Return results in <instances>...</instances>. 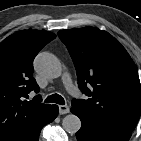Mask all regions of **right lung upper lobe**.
Segmentation results:
<instances>
[{"label":"right lung upper lobe","mask_w":141,"mask_h":141,"mask_svg":"<svg viewBox=\"0 0 141 141\" xmlns=\"http://www.w3.org/2000/svg\"><path fill=\"white\" fill-rule=\"evenodd\" d=\"M56 35L43 30H26L0 43V141H19L42 120L51 105L41 96L23 101L31 91L39 92L33 75V60Z\"/></svg>","instance_id":"1"}]
</instances>
